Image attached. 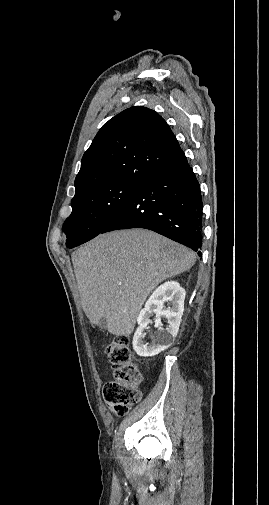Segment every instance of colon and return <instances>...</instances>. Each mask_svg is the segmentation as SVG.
Instances as JSON below:
<instances>
[{
  "label": "colon",
  "mask_w": 269,
  "mask_h": 505,
  "mask_svg": "<svg viewBox=\"0 0 269 505\" xmlns=\"http://www.w3.org/2000/svg\"><path fill=\"white\" fill-rule=\"evenodd\" d=\"M105 354L112 367V380L103 388L104 401L116 415L123 416L141 399L142 376L132 360L128 337H116L107 345Z\"/></svg>",
  "instance_id": "obj_1"
}]
</instances>
